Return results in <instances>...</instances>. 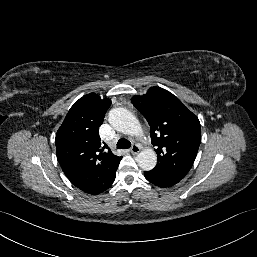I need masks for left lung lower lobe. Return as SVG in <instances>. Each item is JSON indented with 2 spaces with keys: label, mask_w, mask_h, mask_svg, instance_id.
<instances>
[{
  "label": "left lung lower lobe",
  "mask_w": 257,
  "mask_h": 257,
  "mask_svg": "<svg viewBox=\"0 0 257 257\" xmlns=\"http://www.w3.org/2000/svg\"><path fill=\"white\" fill-rule=\"evenodd\" d=\"M144 176L149 182L162 188L171 187L180 181L178 178L172 177L164 172L154 169L144 172Z\"/></svg>",
  "instance_id": "0a47b994"
}]
</instances>
